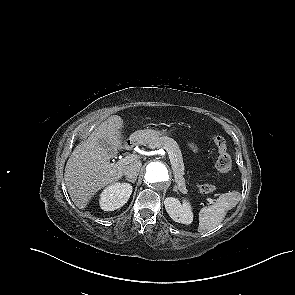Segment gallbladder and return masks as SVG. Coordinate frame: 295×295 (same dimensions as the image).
Wrapping results in <instances>:
<instances>
[{
    "instance_id": "obj_1",
    "label": "gallbladder",
    "mask_w": 295,
    "mask_h": 295,
    "mask_svg": "<svg viewBox=\"0 0 295 295\" xmlns=\"http://www.w3.org/2000/svg\"><path fill=\"white\" fill-rule=\"evenodd\" d=\"M100 144L105 147L106 149H109L111 151L110 145L105 140H100Z\"/></svg>"
}]
</instances>
